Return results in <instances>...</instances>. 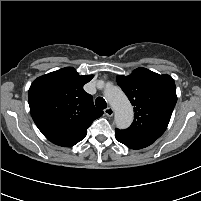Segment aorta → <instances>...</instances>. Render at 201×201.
Wrapping results in <instances>:
<instances>
[{"mask_svg":"<svg viewBox=\"0 0 201 201\" xmlns=\"http://www.w3.org/2000/svg\"><path fill=\"white\" fill-rule=\"evenodd\" d=\"M104 95L114 109L116 126L120 129L128 128L133 121V108L127 96L117 86L107 88Z\"/></svg>","mask_w":201,"mask_h":201,"instance_id":"762f6f07","label":"aorta"}]
</instances>
